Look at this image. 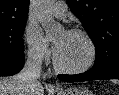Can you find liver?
<instances>
[{
    "instance_id": "obj_1",
    "label": "liver",
    "mask_w": 119,
    "mask_h": 95,
    "mask_svg": "<svg viewBox=\"0 0 119 95\" xmlns=\"http://www.w3.org/2000/svg\"><path fill=\"white\" fill-rule=\"evenodd\" d=\"M0 95H44L42 85H31L20 81L19 74L11 77H0Z\"/></svg>"
}]
</instances>
